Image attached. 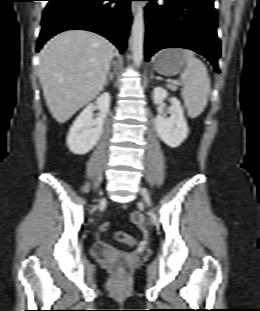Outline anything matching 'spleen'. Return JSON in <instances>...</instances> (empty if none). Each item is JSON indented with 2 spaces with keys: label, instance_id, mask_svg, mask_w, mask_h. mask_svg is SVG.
Returning a JSON list of instances; mask_svg holds the SVG:
<instances>
[{
  "label": "spleen",
  "instance_id": "obj_1",
  "mask_svg": "<svg viewBox=\"0 0 260 311\" xmlns=\"http://www.w3.org/2000/svg\"><path fill=\"white\" fill-rule=\"evenodd\" d=\"M183 55L187 61L186 68L180 76L181 95L190 118L199 116L207 105L210 92V79L204 63L195 57L193 51L185 49Z\"/></svg>",
  "mask_w": 260,
  "mask_h": 311
}]
</instances>
